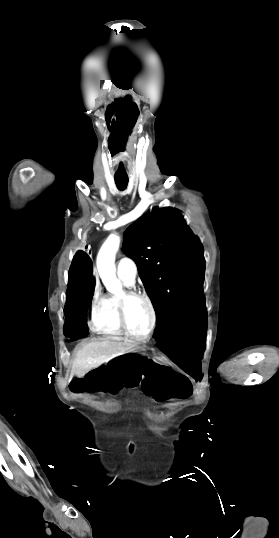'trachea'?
<instances>
[{
    "label": "trachea",
    "mask_w": 279,
    "mask_h": 538,
    "mask_svg": "<svg viewBox=\"0 0 279 538\" xmlns=\"http://www.w3.org/2000/svg\"><path fill=\"white\" fill-rule=\"evenodd\" d=\"M115 183L119 190H125L128 185V177L115 176Z\"/></svg>",
    "instance_id": "3493384b"
}]
</instances>
